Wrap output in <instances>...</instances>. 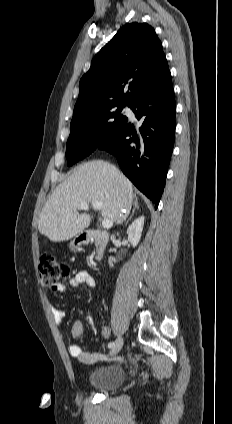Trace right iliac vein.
<instances>
[{
	"label": "right iliac vein",
	"instance_id": "obj_1",
	"mask_svg": "<svg viewBox=\"0 0 232 424\" xmlns=\"http://www.w3.org/2000/svg\"><path fill=\"white\" fill-rule=\"evenodd\" d=\"M123 346V338L119 336L114 343V346L111 348L110 354L115 355L117 354Z\"/></svg>",
	"mask_w": 232,
	"mask_h": 424
}]
</instances>
